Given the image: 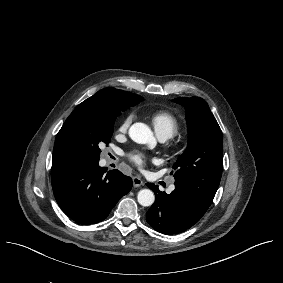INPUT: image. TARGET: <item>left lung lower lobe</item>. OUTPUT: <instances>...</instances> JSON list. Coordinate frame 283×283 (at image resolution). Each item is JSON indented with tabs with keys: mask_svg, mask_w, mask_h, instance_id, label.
<instances>
[{
	"mask_svg": "<svg viewBox=\"0 0 283 283\" xmlns=\"http://www.w3.org/2000/svg\"><path fill=\"white\" fill-rule=\"evenodd\" d=\"M156 192L154 205L147 212V223L156 231L172 235L183 232L198 222L211 204L175 186L170 194L147 183Z\"/></svg>",
	"mask_w": 283,
	"mask_h": 283,
	"instance_id": "1",
	"label": "left lung lower lobe"
}]
</instances>
